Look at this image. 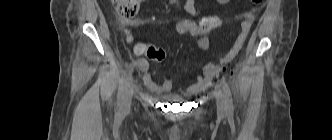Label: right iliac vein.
Segmentation results:
<instances>
[{
    "label": "right iliac vein",
    "instance_id": "right-iliac-vein-1",
    "mask_svg": "<svg viewBox=\"0 0 332 140\" xmlns=\"http://www.w3.org/2000/svg\"><path fill=\"white\" fill-rule=\"evenodd\" d=\"M132 95H133V86L131 82H127L123 96H122V110L128 112L131 108L132 103Z\"/></svg>",
    "mask_w": 332,
    "mask_h": 140
}]
</instances>
